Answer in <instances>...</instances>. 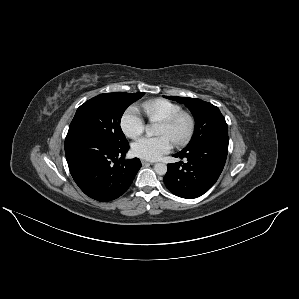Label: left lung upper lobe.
I'll return each mask as SVG.
<instances>
[{
  "mask_svg": "<svg viewBox=\"0 0 299 299\" xmlns=\"http://www.w3.org/2000/svg\"><path fill=\"white\" fill-rule=\"evenodd\" d=\"M164 97L185 104L195 118L194 134L189 144L183 150H187L209 138L228 135L227 123L218 107L196 98Z\"/></svg>",
  "mask_w": 299,
  "mask_h": 299,
  "instance_id": "1",
  "label": "left lung upper lobe"
}]
</instances>
